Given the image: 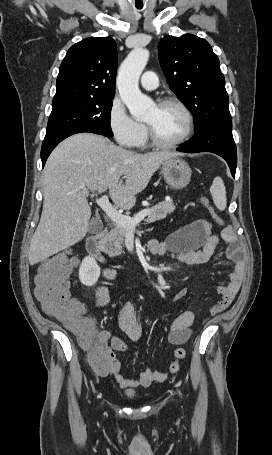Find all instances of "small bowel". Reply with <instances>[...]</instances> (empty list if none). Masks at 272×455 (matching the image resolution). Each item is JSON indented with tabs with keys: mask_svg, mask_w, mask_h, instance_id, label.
I'll return each instance as SVG.
<instances>
[{
	"mask_svg": "<svg viewBox=\"0 0 272 455\" xmlns=\"http://www.w3.org/2000/svg\"><path fill=\"white\" fill-rule=\"evenodd\" d=\"M220 240L228 244L226 254L228 259L233 262L234 269L230 274L229 283L217 288L221 299L212 306V314L224 311L231 304L240 289L245 275V262L233 230L226 228L220 234H216L212 230L211 223L204 219H199L179 228L163 241L153 239L148 242V248L155 256L169 255L176 261L186 265H200L210 260ZM103 276L106 280H114L116 278V271L114 269H106L103 272ZM187 292V288H181L174 294L172 300L178 301L183 299L187 295ZM95 298L97 306H106L110 301L108 287L105 285L97 287ZM194 317L192 311H184L173 320L169 334V340L172 344L182 345L189 340L192 334L191 326L194 322ZM118 324L120 329L132 341H137L141 337L142 326L136 318L135 309L131 303L127 302L121 307L118 313ZM98 338L103 344L109 343L110 348L114 351H127L126 343L107 331L101 332ZM185 356V349L180 347L175 350L174 360L169 367L171 373H177L179 371L180 361ZM97 371L100 375L112 374L122 388L148 387L153 382H163L167 378L165 371L152 369L139 373L137 379L126 378L120 372L119 362L111 357L109 364Z\"/></svg>",
	"mask_w": 272,
	"mask_h": 455,
	"instance_id": "small-bowel-1",
	"label": "small bowel"
}]
</instances>
